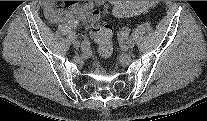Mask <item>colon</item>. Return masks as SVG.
Instances as JSON below:
<instances>
[{
	"mask_svg": "<svg viewBox=\"0 0 207 121\" xmlns=\"http://www.w3.org/2000/svg\"><path fill=\"white\" fill-rule=\"evenodd\" d=\"M155 1H126L117 2L113 6V14L117 17L133 16L145 13L156 6ZM90 35L98 46L102 57H109L113 52V31L111 26L103 20L92 24Z\"/></svg>",
	"mask_w": 207,
	"mask_h": 121,
	"instance_id": "1",
	"label": "colon"
}]
</instances>
